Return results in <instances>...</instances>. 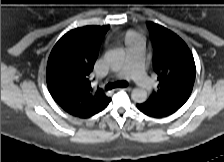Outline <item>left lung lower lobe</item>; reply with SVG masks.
<instances>
[{"instance_id":"1","label":"left lung lower lobe","mask_w":224,"mask_h":162,"mask_svg":"<svg viewBox=\"0 0 224 162\" xmlns=\"http://www.w3.org/2000/svg\"><path fill=\"white\" fill-rule=\"evenodd\" d=\"M137 107L140 111L152 117H164L177 111V109L173 108L147 106L144 103L137 104Z\"/></svg>"}]
</instances>
